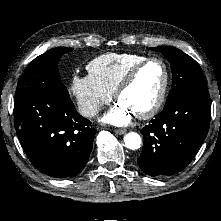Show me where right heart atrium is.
<instances>
[{
  "instance_id": "d8ad5b80",
  "label": "right heart atrium",
  "mask_w": 221,
  "mask_h": 221,
  "mask_svg": "<svg viewBox=\"0 0 221 221\" xmlns=\"http://www.w3.org/2000/svg\"><path fill=\"white\" fill-rule=\"evenodd\" d=\"M70 93L76 100L79 112L87 118L98 114L112 98V94L101 87L89 74L74 75L70 83Z\"/></svg>"
}]
</instances>
